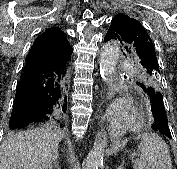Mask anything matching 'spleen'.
Returning a JSON list of instances; mask_svg holds the SVG:
<instances>
[{"mask_svg": "<svg viewBox=\"0 0 177 169\" xmlns=\"http://www.w3.org/2000/svg\"><path fill=\"white\" fill-rule=\"evenodd\" d=\"M135 139L141 142L139 158L133 161L134 169H172L169 148L158 134L145 132Z\"/></svg>", "mask_w": 177, "mask_h": 169, "instance_id": "3e777b00", "label": "spleen"}]
</instances>
